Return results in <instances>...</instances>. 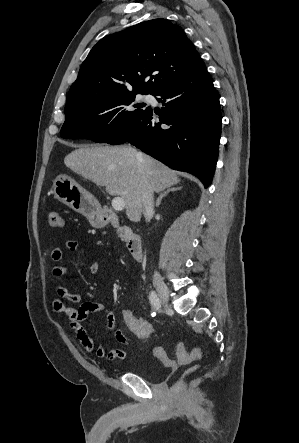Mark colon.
Here are the masks:
<instances>
[{
    "label": "colon",
    "mask_w": 299,
    "mask_h": 443,
    "mask_svg": "<svg viewBox=\"0 0 299 443\" xmlns=\"http://www.w3.org/2000/svg\"><path fill=\"white\" fill-rule=\"evenodd\" d=\"M48 225L51 228H61L63 226V218L58 211L49 212ZM122 320L127 330L139 339H148L155 332V329L150 322L136 316L129 309L122 310ZM153 354L165 365L171 367L175 366L176 364L186 365L201 358V350L199 348L188 351L180 342L177 343L175 348L176 360L171 359L162 347L154 348ZM194 369L195 368H193L191 371H193ZM183 386L184 382L180 381L172 387V391L174 393H178L183 389Z\"/></svg>",
    "instance_id": "1"
}]
</instances>
